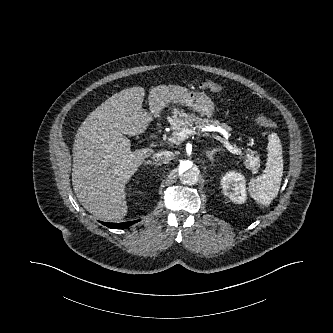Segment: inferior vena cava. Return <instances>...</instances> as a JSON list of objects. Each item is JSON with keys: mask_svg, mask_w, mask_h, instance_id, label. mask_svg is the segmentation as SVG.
Returning <instances> with one entry per match:
<instances>
[{"mask_svg": "<svg viewBox=\"0 0 333 333\" xmlns=\"http://www.w3.org/2000/svg\"><path fill=\"white\" fill-rule=\"evenodd\" d=\"M174 157V154L169 151H160L153 154V159L161 163H169Z\"/></svg>", "mask_w": 333, "mask_h": 333, "instance_id": "602c4592", "label": "inferior vena cava"}]
</instances>
